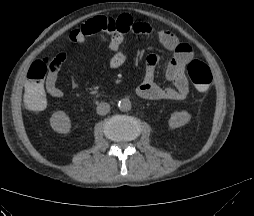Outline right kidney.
<instances>
[{"label":"right kidney","mask_w":254,"mask_h":216,"mask_svg":"<svg viewBox=\"0 0 254 216\" xmlns=\"http://www.w3.org/2000/svg\"><path fill=\"white\" fill-rule=\"evenodd\" d=\"M52 129L58 133H69L71 128L70 118L63 111L54 112L50 118Z\"/></svg>","instance_id":"1"}]
</instances>
